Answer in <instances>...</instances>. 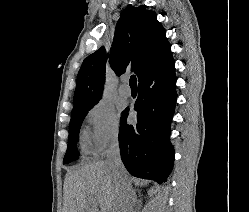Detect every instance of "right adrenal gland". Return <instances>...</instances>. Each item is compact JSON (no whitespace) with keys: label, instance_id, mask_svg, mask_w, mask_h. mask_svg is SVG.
<instances>
[{"label":"right adrenal gland","instance_id":"2a0ac1e0","mask_svg":"<svg viewBox=\"0 0 249 212\" xmlns=\"http://www.w3.org/2000/svg\"><path fill=\"white\" fill-rule=\"evenodd\" d=\"M132 194H133V202L135 206V202H137V196H135V190H132Z\"/></svg>","mask_w":249,"mask_h":212}]
</instances>
